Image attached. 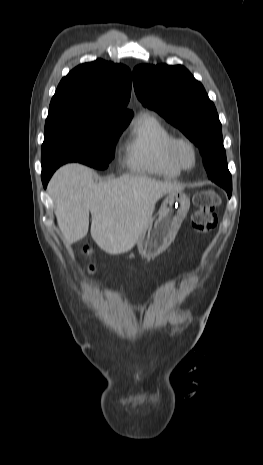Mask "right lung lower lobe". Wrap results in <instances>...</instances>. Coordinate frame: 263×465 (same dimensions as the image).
I'll use <instances>...</instances> for the list:
<instances>
[{
    "mask_svg": "<svg viewBox=\"0 0 263 465\" xmlns=\"http://www.w3.org/2000/svg\"><path fill=\"white\" fill-rule=\"evenodd\" d=\"M54 171H51V170H43L42 169V182H43V185L44 187H46L47 183H48V180L50 179L51 175L53 174Z\"/></svg>",
    "mask_w": 263,
    "mask_h": 465,
    "instance_id": "obj_1",
    "label": "right lung lower lobe"
}]
</instances>
